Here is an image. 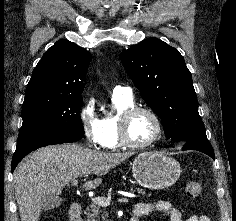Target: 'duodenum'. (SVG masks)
<instances>
[{
  "mask_svg": "<svg viewBox=\"0 0 236 221\" xmlns=\"http://www.w3.org/2000/svg\"><path fill=\"white\" fill-rule=\"evenodd\" d=\"M82 212H83L82 205L79 202L74 201L69 209L70 221H82ZM129 221H139V219L136 216H133L130 218Z\"/></svg>",
  "mask_w": 236,
  "mask_h": 221,
  "instance_id": "duodenum-1",
  "label": "duodenum"
}]
</instances>
